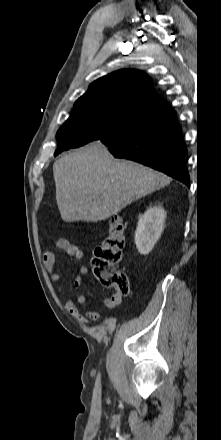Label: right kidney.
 Listing matches in <instances>:
<instances>
[{
    "label": "right kidney",
    "mask_w": 221,
    "mask_h": 440,
    "mask_svg": "<svg viewBox=\"0 0 221 440\" xmlns=\"http://www.w3.org/2000/svg\"><path fill=\"white\" fill-rule=\"evenodd\" d=\"M166 211L162 207L149 208L139 219L135 232V244L142 255H147L160 238Z\"/></svg>",
    "instance_id": "ca27d5eb"
}]
</instances>
